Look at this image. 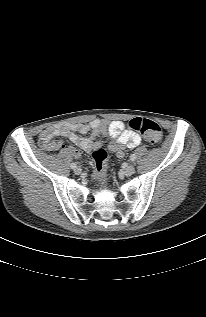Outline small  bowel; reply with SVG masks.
<instances>
[{
  "label": "small bowel",
  "instance_id": "small-bowel-1",
  "mask_svg": "<svg viewBox=\"0 0 206 317\" xmlns=\"http://www.w3.org/2000/svg\"><path fill=\"white\" fill-rule=\"evenodd\" d=\"M88 132H91V136L84 137L83 134ZM99 135L108 138L109 149L119 158L124 156L126 147H137L141 143L140 135L123 121L108 122L102 119H95L90 123L48 127L39 134V142L48 151H58L64 148L60 138H66L85 152H91L101 146L96 140ZM67 150L75 158L80 156V152L74 147H69Z\"/></svg>",
  "mask_w": 206,
  "mask_h": 317
}]
</instances>
